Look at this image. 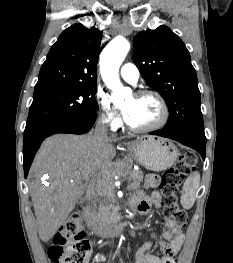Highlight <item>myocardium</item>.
<instances>
[{"label":"myocardium","mask_w":233,"mask_h":263,"mask_svg":"<svg viewBox=\"0 0 233 263\" xmlns=\"http://www.w3.org/2000/svg\"><path fill=\"white\" fill-rule=\"evenodd\" d=\"M135 97L136 98L153 97L158 102L161 108V117L156 123L144 127H137L127 123V126L131 131L136 133H148L161 129L167 124L170 117L169 107L165 99L158 92L153 90H142L137 92L135 94Z\"/></svg>","instance_id":"obj_1"}]
</instances>
